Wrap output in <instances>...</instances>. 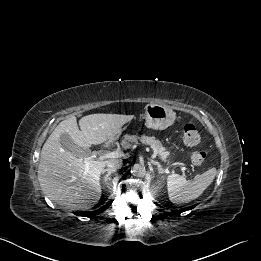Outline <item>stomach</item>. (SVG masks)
I'll return each mask as SVG.
<instances>
[{"label":"stomach","instance_id":"obj_1","mask_svg":"<svg viewBox=\"0 0 261 261\" xmlns=\"http://www.w3.org/2000/svg\"><path fill=\"white\" fill-rule=\"evenodd\" d=\"M176 113L167 105L148 104L145 106V121L146 126L155 130H163L174 123ZM119 132L111 139H116L121 133Z\"/></svg>","mask_w":261,"mask_h":261}]
</instances>
